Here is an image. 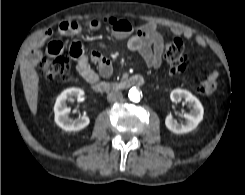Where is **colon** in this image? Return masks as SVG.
<instances>
[{
    "mask_svg": "<svg viewBox=\"0 0 245 195\" xmlns=\"http://www.w3.org/2000/svg\"><path fill=\"white\" fill-rule=\"evenodd\" d=\"M164 56L172 73L183 72L186 68L184 44L176 38L163 46ZM69 73V62L61 56L44 58L41 62L40 76L45 81L64 79Z\"/></svg>",
    "mask_w": 245,
    "mask_h": 195,
    "instance_id": "5ec220e1",
    "label": "colon"
}]
</instances>
